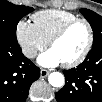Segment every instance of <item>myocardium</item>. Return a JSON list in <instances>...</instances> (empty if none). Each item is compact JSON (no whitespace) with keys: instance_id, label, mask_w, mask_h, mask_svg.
<instances>
[{"instance_id":"obj_1","label":"myocardium","mask_w":102,"mask_h":102,"mask_svg":"<svg viewBox=\"0 0 102 102\" xmlns=\"http://www.w3.org/2000/svg\"><path fill=\"white\" fill-rule=\"evenodd\" d=\"M78 23H82L86 26L87 30H88V40H87V44L83 50V52L79 55L78 58H76L73 61L70 62H66V63H62V65L66 68H72V67H76L78 65H80L88 56L91 47H92V43H93V29L90 25V23L82 18H77L75 20H72L68 23H66L60 30H58L53 37L50 39L49 41V48L51 49L52 46L59 41L60 39H62L66 33L76 24Z\"/></svg>"}]
</instances>
